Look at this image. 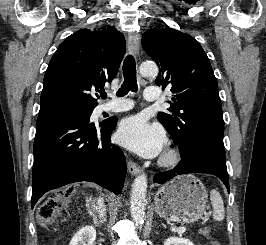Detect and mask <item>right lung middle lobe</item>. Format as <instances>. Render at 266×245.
<instances>
[{
    "instance_id": "obj_1",
    "label": "right lung middle lobe",
    "mask_w": 266,
    "mask_h": 245,
    "mask_svg": "<svg viewBox=\"0 0 266 245\" xmlns=\"http://www.w3.org/2000/svg\"><path fill=\"white\" fill-rule=\"evenodd\" d=\"M92 111H93V109H85V110L71 112V113H68L66 115H73V114H91ZM66 115H64V116H66ZM46 122H48V121H37L36 127H39V126L43 125Z\"/></svg>"
}]
</instances>
